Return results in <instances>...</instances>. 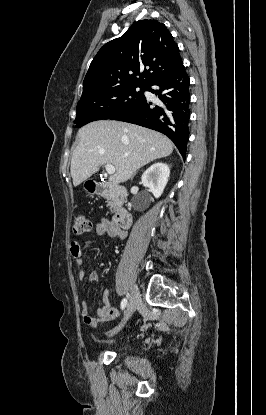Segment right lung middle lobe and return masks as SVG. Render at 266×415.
I'll use <instances>...</instances> for the list:
<instances>
[{
	"label": "right lung middle lobe",
	"instance_id": "obj_1",
	"mask_svg": "<svg viewBox=\"0 0 266 415\" xmlns=\"http://www.w3.org/2000/svg\"><path fill=\"white\" fill-rule=\"evenodd\" d=\"M126 85L116 87L93 96L82 98L77 104L76 127L113 116L131 108L144 99L147 87Z\"/></svg>",
	"mask_w": 266,
	"mask_h": 415
}]
</instances>
